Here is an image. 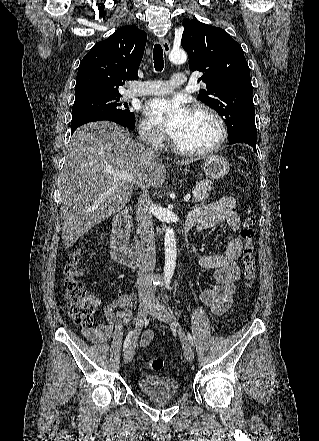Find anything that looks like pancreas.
Here are the masks:
<instances>
[{
	"label": "pancreas",
	"instance_id": "obj_1",
	"mask_svg": "<svg viewBox=\"0 0 319 441\" xmlns=\"http://www.w3.org/2000/svg\"><path fill=\"white\" fill-rule=\"evenodd\" d=\"M214 189L213 182L211 180H200L194 185L195 193H193L192 202H203L209 197V193Z\"/></svg>",
	"mask_w": 319,
	"mask_h": 441
}]
</instances>
